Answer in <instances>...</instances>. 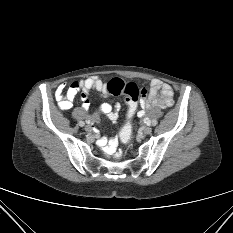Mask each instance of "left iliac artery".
Here are the masks:
<instances>
[{"instance_id":"obj_1","label":"left iliac artery","mask_w":233,"mask_h":233,"mask_svg":"<svg viewBox=\"0 0 233 233\" xmlns=\"http://www.w3.org/2000/svg\"><path fill=\"white\" fill-rule=\"evenodd\" d=\"M152 126H153V127H156V126H157V121H156V120H153V121H152Z\"/></svg>"}]
</instances>
